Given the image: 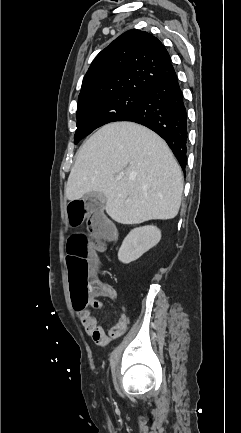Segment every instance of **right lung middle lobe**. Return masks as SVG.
<instances>
[{
  "label": "right lung middle lobe",
  "mask_w": 241,
  "mask_h": 433,
  "mask_svg": "<svg viewBox=\"0 0 241 433\" xmlns=\"http://www.w3.org/2000/svg\"><path fill=\"white\" fill-rule=\"evenodd\" d=\"M144 96V92L125 91L78 103L75 144L96 128L120 121L142 103Z\"/></svg>",
  "instance_id": "1"
}]
</instances>
